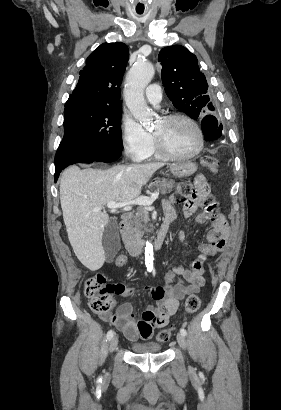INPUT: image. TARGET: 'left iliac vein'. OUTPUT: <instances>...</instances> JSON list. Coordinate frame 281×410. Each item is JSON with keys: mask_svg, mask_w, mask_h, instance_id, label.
I'll use <instances>...</instances> for the list:
<instances>
[{"mask_svg": "<svg viewBox=\"0 0 281 410\" xmlns=\"http://www.w3.org/2000/svg\"><path fill=\"white\" fill-rule=\"evenodd\" d=\"M176 340H177L179 346H180L183 350H185V349H186V341H185L184 336H183L181 333H179V334H177V336H176Z\"/></svg>", "mask_w": 281, "mask_h": 410, "instance_id": "left-iliac-vein-1", "label": "left iliac vein"}]
</instances>
